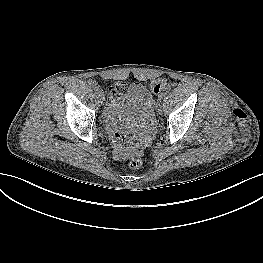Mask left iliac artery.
Here are the masks:
<instances>
[{
	"mask_svg": "<svg viewBox=\"0 0 263 263\" xmlns=\"http://www.w3.org/2000/svg\"><path fill=\"white\" fill-rule=\"evenodd\" d=\"M158 96H160L161 98H164L166 96V93L164 91H160L158 93Z\"/></svg>",
	"mask_w": 263,
	"mask_h": 263,
	"instance_id": "1",
	"label": "left iliac artery"
}]
</instances>
